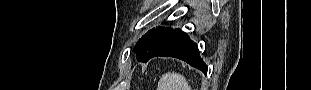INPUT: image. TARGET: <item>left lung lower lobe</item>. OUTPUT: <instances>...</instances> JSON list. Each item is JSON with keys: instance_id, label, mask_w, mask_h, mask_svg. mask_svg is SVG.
Wrapping results in <instances>:
<instances>
[{"instance_id": "obj_1", "label": "left lung lower lobe", "mask_w": 311, "mask_h": 90, "mask_svg": "<svg viewBox=\"0 0 311 90\" xmlns=\"http://www.w3.org/2000/svg\"><path fill=\"white\" fill-rule=\"evenodd\" d=\"M156 56H170L181 59L193 67L207 73V66L199 55L197 45L181 30H172L152 51L148 58Z\"/></svg>"}]
</instances>
